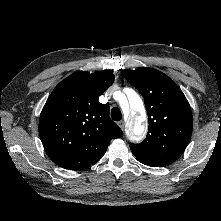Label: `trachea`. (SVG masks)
Here are the masks:
<instances>
[{
	"instance_id": "3493384b",
	"label": "trachea",
	"mask_w": 221,
	"mask_h": 221,
	"mask_svg": "<svg viewBox=\"0 0 221 221\" xmlns=\"http://www.w3.org/2000/svg\"><path fill=\"white\" fill-rule=\"evenodd\" d=\"M111 118L114 120V121H120L121 118H122V113L120 111L119 108L117 107H114L112 110H111Z\"/></svg>"
}]
</instances>
